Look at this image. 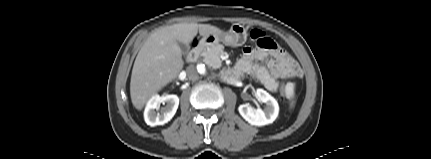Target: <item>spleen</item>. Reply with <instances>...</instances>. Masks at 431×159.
Segmentation results:
<instances>
[{
	"label": "spleen",
	"mask_w": 431,
	"mask_h": 159,
	"mask_svg": "<svg viewBox=\"0 0 431 159\" xmlns=\"http://www.w3.org/2000/svg\"><path fill=\"white\" fill-rule=\"evenodd\" d=\"M293 93H294V86L293 84H290L287 86V89H286L287 98H291L293 96Z\"/></svg>",
	"instance_id": "3e777b00"
}]
</instances>
